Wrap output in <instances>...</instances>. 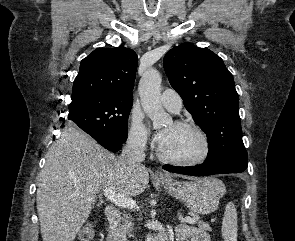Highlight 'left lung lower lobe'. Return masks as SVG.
Instances as JSON below:
<instances>
[{"instance_id": "1", "label": "left lung lower lobe", "mask_w": 295, "mask_h": 241, "mask_svg": "<svg viewBox=\"0 0 295 241\" xmlns=\"http://www.w3.org/2000/svg\"><path fill=\"white\" fill-rule=\"evenodd\" d=\"M247 167H243L241 165H236L232 163H224V162H212L191 166V167H177L171 165H164L163 169L174 172L180 173L185 175H195V176H207L213 174H226V173H241Z\"/></svg>"}]
</instances>
